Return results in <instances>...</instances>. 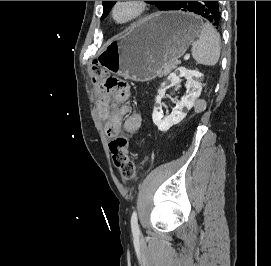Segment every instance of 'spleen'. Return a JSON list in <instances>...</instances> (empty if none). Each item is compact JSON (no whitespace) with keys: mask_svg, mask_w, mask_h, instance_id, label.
<instances>
[{"mask_svg":"<svg viewBox=\"0 0 271 266\" xmlns=\"http://www.w3.org/2000/svg\"><path fill=\"white\" fill-rule=\"evenodd\" d=\"M220 36L209 23L201 26L198 40L192 43V56L198 64L214 66L220 57Z\"/></svg>","mask_w":271,"mask_h":266,"instance_id":"1","label":"spleen"}]
</instances>
